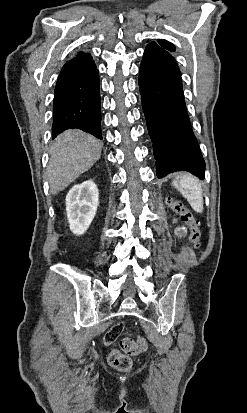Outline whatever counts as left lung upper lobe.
<instances>
[{
    "label": "left lung upper lobe",
    "instance_id": "5c2ea615",
    "mask_svg": "<svg viewBox=\"0 0 247 413\" xmlns=\"http://www.w3.org/2000/svg\"><path fill=\"white\" fill-rule=\"evenodd\" d=\"M147 47H155V48H162L168 51H175V46L165 39H158V44L152 42Z\"/></svg>",
    "mask_w": 247,
    "mask_h": 413
}]
</instances>
